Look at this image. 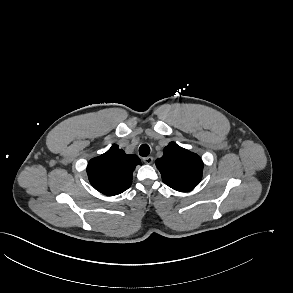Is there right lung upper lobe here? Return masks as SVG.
Wrapping results in <instances>:
<instances>
[{"mask_svg": "<svg viewBox=\"0 0 293 293\" xmlns=\"http://www.w3.org/2000/svg\"><path fill=\"white\" fill-rule=\"evenodd\" d=\"M137 165H141L138 156L127 155L114 144L106 153L90 160L87 174L95 189L107 196H114L130 187Z\"/></svg>", "mask_w": 293, "mask_h": 293, "instance_id": "right-lung-upper-lobe-1", "label": "right lung upper lobe"}]
</instances>
